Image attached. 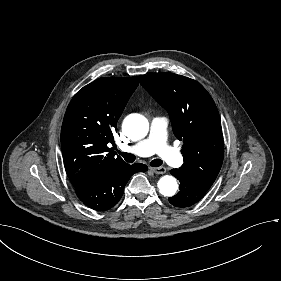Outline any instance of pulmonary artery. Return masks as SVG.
Segmentation results:
<instances>
[{
	"mask_svg": "<svg viewBox=\"0 0 281 281\" xmlns=\"http://www.w3.org/2000/svg\"><path fill=\"white\" fill-rule=\"evenodd\" d=\"M170 119L163 114H158L149 122L148 129L152 132L147 137V142H137L132 146V153L135 156L149 158L152 154L162 155L164 160L173 168H181L184 165V158L174 151L170 142L165 137Z\"/></svg>",
	"mask_w": 281,
	"mask_h": 281,
	"instance_id": "1",
	"label": "pulmonary artery"
}]
</instances>
